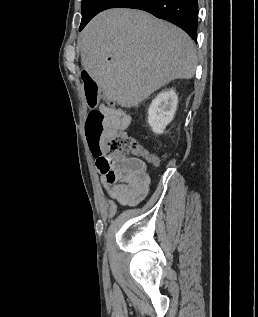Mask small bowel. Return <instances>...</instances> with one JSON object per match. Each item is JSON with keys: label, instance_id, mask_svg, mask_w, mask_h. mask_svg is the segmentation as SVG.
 <instances>
[{"label": "small bowel", "instance_id": "small-bowel-1", "mask_svg": "<svg viewBox=\"0 0 258 317\" xmlns=\"http://www.w3.org/2000/svg\"><path fill=\"white\" fill-rule=\"evenodd\" d=\"M107 116L110 133L124 131L131 116L121 109L101 105ZM103 188L118 205H135L144 199L149 190L146 163L135 157L116 158L104 152L93 153Z\"/></svg>", "mask_w": 258, "mask_h": 317}]
</instances>
